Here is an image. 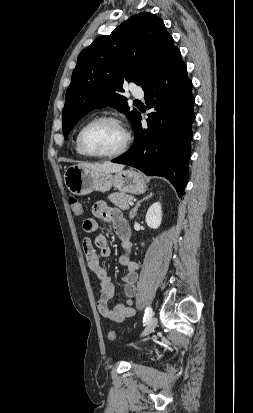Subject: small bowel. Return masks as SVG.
<instances>
[{"label": "small bowel", "instance_id": "1", "mask_svg": "<svg viewBox=\"0 0 253 413\" xmlns=\"http://www.w3.org/2000/svg\"><path fill=\"white\" fill-rule=\"evenodd\" d=\"M92 213L95 218H86L83 221V229L86 233H96L98 231L99 225L96 218H100L112 224L115 233L123 242L124 248L129 249L130 228L118 208L109 206L105 201H98L93 205ZM83 251L88 268L94 274L99 288L97 299L99 313L108 321L117 323L132 317L135 314L133 303L137 292L136 282L138 280L139 264L132 261L127 253L119 257V263L126 268V273L123 276L126 302L125 304H118L113 308H109L108 303L113 297L114 286L107 270L100 262L101 257H108L111 253L106 236L97 234L94 242L89 237H85L83 240Z\"/></svg>", "mask_w": 253, "mask_h": 413}]
</instances>
